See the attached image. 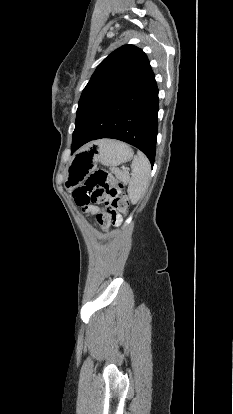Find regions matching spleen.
Segmentation results:
<instances>
[{
	"label": "spleen",
	"instance_id": "3e777b00",
	"mask_svg": "<svg viewBox=\"0 0 233 414\" xmlns=\"http://www.w3.org/2000/svg\"><path fill=\"white\" fill-rule=\"evenodd\" d=\"M132 174L128 186V196L132 204H137L145 194L150 180L151 165L140 151L132 161Z\"/></svg>",
	"mask_w": 233,
	"mask_h": 414
}]
</instances>
